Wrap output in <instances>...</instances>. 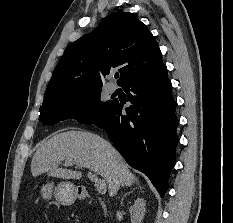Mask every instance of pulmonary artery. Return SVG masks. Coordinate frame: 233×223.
I'll use <instances>...</instances> for the list:
<instances>
[{
	"label": "pulmonary artery",
	"instance_id": "1",
	"mask_svg": "<svg viewBox=\"0 0 233 223\" xmlns=\"http://www.w3.org/2000/svg\"><path fill=\"white\" fill-rule=\"evenodd\" d=\"M115 90H116V86L111 84V85L109 86V91H110V92H114Z\"/></svg>",
	"mask_w": 233,
	"mask_h": 223
}]
</instances>
